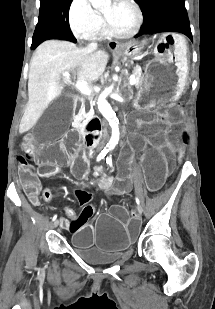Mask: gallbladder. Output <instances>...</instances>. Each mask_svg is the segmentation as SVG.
<instances>
[{"label":"gallbladder","mask_w":215,"mask_h":309,"mask_svg":"<svg viewBox=\"0 0 215 309\" xmlns=\"http://www.w3.org/2000/svg\"><path fill=\"white\" fill-rule=\"evenodd\" d=\"M74 104L73 96L66 94L56 98L54 103H48V109H44L32 131L38 144H54L57 136H65L66 125H69L70 115L74 112Z\"/></svg>","instance_id":"gallbladder-1"}]
</instances>
